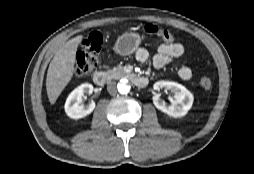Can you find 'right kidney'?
<instances>
[{
	"mask_svg": "<svg viewBox=\"0 0 254 174\" xmlns=\"http://www.w3.org/2000/svg\"><path fill=\"white\" fill-rule=\"evenodd\" d=\"M93 92V86L84 83L75 88L65 102V112L72 119H80L89 115L95 108V102L91 101L88 105L82 102V97Z\"/></svg>",
	"mask_w": 254,
	"mask_h": 174,
	"instance_id": "ca27d5eb",
	"label": "right kidney"
}]
</instances>
